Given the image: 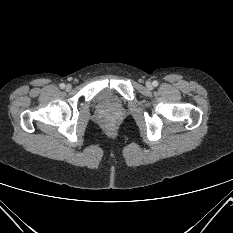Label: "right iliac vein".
Segmentation results:
<instances>
[{
  "mask_svg": "<svg viewBox=\"0 0 233 233\" xmlns=\"http://www.w3.org/2000/svg\"><path fill=\"white\" fill-rule=\"evenodd\" d=\"M71 89H72L71 84H67V85H66V90H67V91H70Z\"/></svg>",
  "mask_w": 233,
  "mask_h": 233,
  "instance_id": "obj_1",
  "label": "right iliac vein"
}]
</instances>
